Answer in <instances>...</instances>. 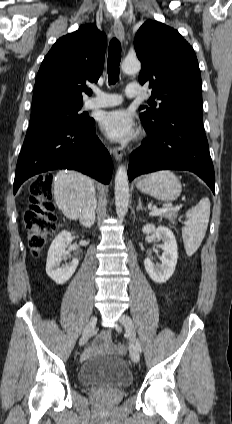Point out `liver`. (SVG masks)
I'll return each mask as SVG.
<instances>
[{"instance_id": "6515ba94", "label": "liver", "mask_w": 232, "mask_h": 424, "mask_svg": "<svg viewBox=\"0 0 232 424\" xmlns=\"http://www.w3.org/2000/svg\"><path fill=\"white\" fill-rule=\"evenodd\" d=\"M54 199L63 214L76 220L87 201V195L94 189L89 177L72 170L60 171L54 179Z\"/></svg>"}]
</instances>
